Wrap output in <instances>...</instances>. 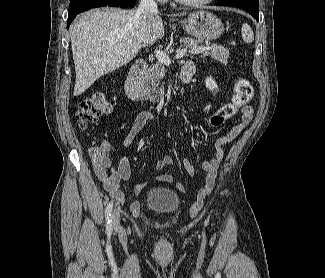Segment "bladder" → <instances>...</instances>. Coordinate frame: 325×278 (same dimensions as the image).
<instances>
[{
    "mask_svg": "<svg viewBox=\"0 0 325 278\" xmlns=\"http://www.w3.org/2000/svg\"><path fill=\"white\" fill-rule=\"evenodd\" d=\"M145 204L158 215H171L178 209L180 198L173 190L159 186L148 191Z\"/></svg>",
    "mask_w": 325,
    "mask_h": 278,
    "instance_id": "1",
    "label": "bladder"
}]
</instances>
